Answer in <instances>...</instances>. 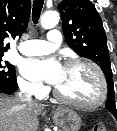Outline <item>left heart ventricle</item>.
Instances as JSON below:
<instances>
[{
    "label": "left heart ventricle",
    "instance_id": "obj_1",
    "mask_svg": "<svg viewBox=\"0 0 117 131\" xmlns=\"http://www.w3.org/2000/svg\"><path fill=\"white\" fill-rule=\"evenodd\" d=\"M56 87L65 97L81 103H93L100 95L98 78L85 65L63 67Z\"/></svg>",
    "mask_w": 117,
    "mask_h": 131
}]
</instances>
